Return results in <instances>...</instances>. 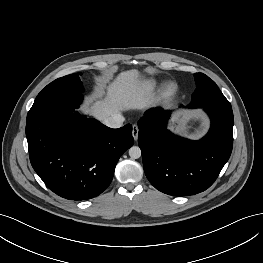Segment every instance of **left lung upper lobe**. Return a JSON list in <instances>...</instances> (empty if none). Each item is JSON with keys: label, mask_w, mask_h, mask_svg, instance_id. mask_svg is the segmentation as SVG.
I'll use <instances>...</instances> for the list:
<instances>
[{"label": "left lung upper lobe", "mask_w": 263, "mask_h": 263, "mask_svg": "<svg viewBox=\"0 0 263 263\" xmlns=\"http://www.w3.org/2000/svg\"><path fill=\"white\" fill-rule=\"evenodd\" d=\"M197 89L192 94L190 107L223 106L231 107L229 101L222 94L216 83L203 73L194 74Z\"/></svg>", "instance_id": "left-lung-upper-lobe-1"}]
</instances>
